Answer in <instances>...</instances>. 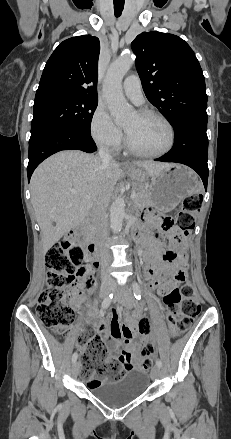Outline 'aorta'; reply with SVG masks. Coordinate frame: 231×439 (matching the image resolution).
<instances>
[{
  "instance_id": "1",
  "label": "aorta",
  "mask_w": 231,
  "mask_h": 439,
  "mask_svg": "<svg viewBox=\"0 0 231 439\" xmlns=\"http://www.w3.org/2000/svg\"><path fill=\"white\" fill-rule=\"evenodd\" d=\"M133 63L132 54L121 55L111 63L104 79L103 95L117 123L125 122L133 115V108L126 102L122 91V79ZM124 216L125 201L123 197H118L110 207V227L114 233L121 231Z\"/></svg>"
}]
</instances>
